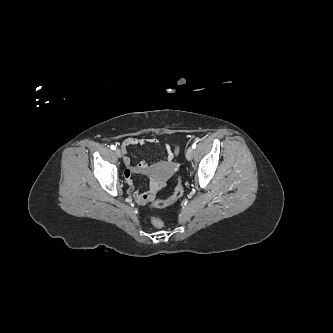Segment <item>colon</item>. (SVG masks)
I'll return each instance as SVG.
<instances>
[{"mask_svg":"<svg viewBox=\"0 0 333 333\" xmlns=\"http://www.w3.org/2000/svg\"><path fill=\"white\" fill-rule=\"evenodd\" d=\"M179 150L180 149L177 146L174 150V154L177 155L179 153ZM183 192H184V186H183L181 179H179L176 187L174 188L173 193L168 198L158 199V200L154 201L152 206L154 208L168 207V206L174 204L175 202H177L182 197ZM151 222H152L153 226L156 228H162L164 225L162 219H160L159 217H156V216H153L151 218Z\"/></svg>","mask_w":333,"mask_h":333,"instance_id":"1","label":"colon"}]
</instances>
